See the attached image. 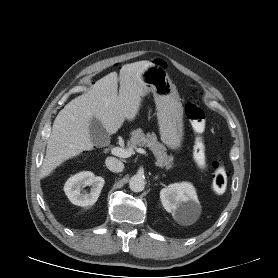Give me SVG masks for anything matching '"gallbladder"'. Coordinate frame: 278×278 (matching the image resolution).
Returning <instances> with one entry per match:
<instances>
[{"mask_svg": "<svg viewBox=\"0 0 278 278\" xmlns=\"http://www.w3.org/2000/svg\"><path fill=\"white\" fill-rule=\"evenodd\" d=\"M89 131L92 142L95 146L102 147L109 144V134L107 133L101 121L97 118L93 117L91 119Z\"/></svg>", "mask_w": 278, "mask_h": 278, "instance_id": "1", "label": "gallbladder"}]
</instances>
